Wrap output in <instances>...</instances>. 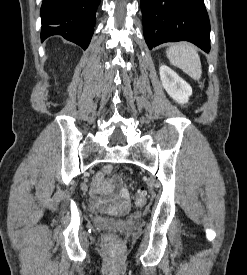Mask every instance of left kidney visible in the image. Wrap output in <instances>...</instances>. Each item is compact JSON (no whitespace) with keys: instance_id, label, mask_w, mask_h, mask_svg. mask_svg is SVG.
<instances>
[{"instance_id":"5707ae66","label":"left kidney","mask_w":247,"mask_h":275,"mask_svg":"<svg viewBox=\"0 0 247 275\" xmlns=\"http://www.w3.org/2000/svg\"><path fill=\"white\" fill-rule=\"evenodd\" d=\"M160 79L168 95L179 104L188 102L192 95L191 86L167 65H161Z\"/></svg>"}]
</instances>
